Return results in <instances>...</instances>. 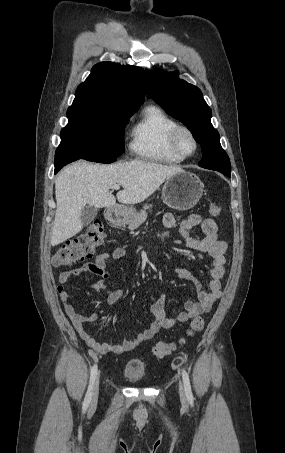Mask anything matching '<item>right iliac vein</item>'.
<instances>
[{"label": "right iliac vein", "instance_id": "1", "mask_svg": "<svg viewBox=\"0 0 285 453\" xmlns=\"http://www.w3.org/2000/svg\"><path fill=\"white\" fill-rule=\"evenodd\" d=\"M99 395V376L96 379V382L93 387L92 397H91V407H94L97 404Z\"/></svg>", "mask_w": 285, "mask_h": 453}]
</instances>
